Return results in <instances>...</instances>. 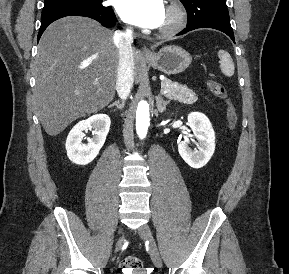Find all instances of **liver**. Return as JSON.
<instances>
[{"label":"liver","mask_w":289,"mask_h":274,"mask_svg":"<svg viewBox=\"0 0 289 274\" xmlns=\"http://www.w3.org/2000/svg\"><path fill=\"white\" fill-rule=\"evenodd\" d=\"M138 75L140 55L133 50ZM119 51L113 32L85 17H65L43 33L34 60L35 103L45 132L105 108L114 98Z\"/></svg>","instance_id":"1"}]
</instances>
